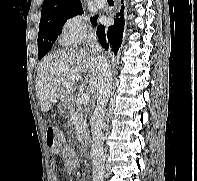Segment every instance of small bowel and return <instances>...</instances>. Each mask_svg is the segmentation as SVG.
Listing matches in <instances>:
<instances>
[{"instance_id": "obj_1", "label": "small bowel", "mask_w": 197, "mask_h": 181, "mask_svg": "<svg viewBox=\"0 0 197 181\" xmlns=\"http://www.w3.org/2000/svg\"><path fill=\"white\" fill-rule=\"evenodd\" d=\"M52 155L60 154L62 157V165L63 170L66 173H71L75 171L78 167V158L74 151V149L70 146H64L61 150L51 151ZM57 165L56 159L51 156L50 158V166L55 168Z\"/></svg>"}]
</instances>
